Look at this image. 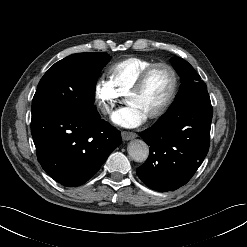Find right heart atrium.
<instances>
[{"label": "right heart atrium", "instance_id": "1", "mask_svg": "<svg viewBox=\"0 0 247 247\" xmlns=\"http://www.w3.org/2000/svg\"><path fill=\"white\" fill-rule=\"evenodd\" d=\"M94 103L103 116H109L121 100L109 81L98 79L93 85Z\"/></svg>", "mask_w": 247, "mask_h": 247}]
</instances>
